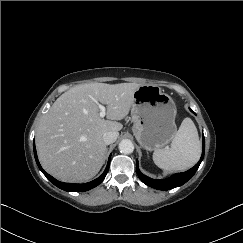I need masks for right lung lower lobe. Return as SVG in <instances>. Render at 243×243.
Listing matches in <instances>:
<instances>
[{
    "mask_svg": "<svg viewBox=\"0 0 243 243\" xmlns=\"http://www.w3.org/2000/svg\"><path fill=\"white\" fill-rule=\"evenodd\" d=\"M33 148H34V156H35L36 163H37L39 169L42 171V173L46 176V178L52 184H54L55 186L59 187L62 190L68 191V192H84V191L90 190V189L98 186L104 180V178L106 177V174H107L108 169H109V163H110V157L111 156L108 159V164H107V167H106L105 171L97 179H95V180H93L91 182L85 183V184H71V183L60 182V181L56 180L55 178H53L52 176H50L49 174H47L42 169V167H41V165H40V163L38 161V158H37L36 149H35V143L34 142H33Z\"/></svg>",
    "mask_w": 243,
    "mask_h": 243,
    "instance_id": "1",
    "label": "right lung lower lobe"
}]
</instances>
